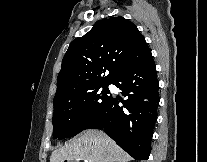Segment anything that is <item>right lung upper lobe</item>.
Here are the masks:
<instances>
[{"mask_svg":"<svg viewBox=\"0 0 207 162\" xmlns=\"http://www.w3.org/2000/svg\"><path fill=\"white\" fill-rule=\"evenodd\" d=\"M150 56L144 37L132 22L123 17L100 20L71 42L54 99L111 84L125 69Z\"/></svg>","mask_w":207,"mask_h":162,"instance_id":"obj_1","label":"right lung upper lobe"}]
</instances>
